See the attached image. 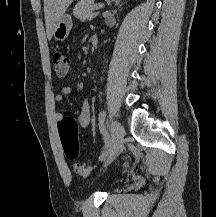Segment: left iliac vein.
<instances>
[{
  "instance_id": "4c4485c4",
  "label": "left iliac vein",
  "mask_w": 216,
  "mask_h": 217,
  "mask_svg": "<svg viewBox=\"0 0 216 217\" xmlns=\"http://www.w3.org/2000/svg\"><path fill=\"white\" fill-rule=\"evenodd\" d=\"M124 135H125V130L124 127L121 125V123L118 121H113L111 124L112 143H111V148L109 150V153L107 155V159L104 163V166H107L115 159L123 143Z\"/></svg>"
}]
</instances>
